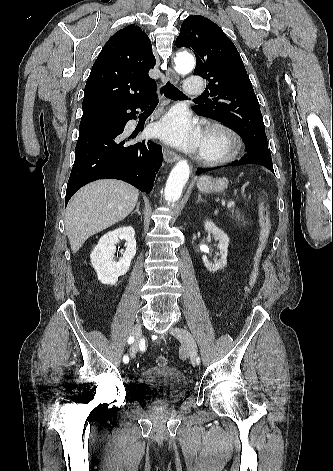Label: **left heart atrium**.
<instances>
[{"label": "left heart atrium", "instance_id": "left-heart-atrium-1", "mask_svg": "<svg viewBox=\"0 0 333 471\" xmlns=\"http://www.w3.org/2000/svg\"><path fill=\"white\" fill-rule=\"evenodd\" d=\"M156 132L165 141L185 150L201 147L203 135L184 111H172L157 125Z\"/></svg>", "mask_w": 333, "mask_h": 471}]
</instances>
